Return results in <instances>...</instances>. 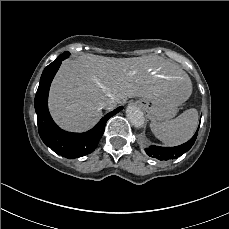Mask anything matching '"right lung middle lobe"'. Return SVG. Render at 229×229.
<instances>
[{
  "instance_id": "1",
  "label": "right lung middle lobe",
  "mask_w": 229,
  "mask_h": 229,
  "mask_svg": "<svg viewBox=\"0 0 229 229\" xmlns=\"http://www.w3.org/2000/svg\"><path fill=\"white\" fill-rule=\"evenodd\" d=\"M63 54H67V56H69V53H68V52H65V53H63Z\"/></svg>"
}]
</instances>
